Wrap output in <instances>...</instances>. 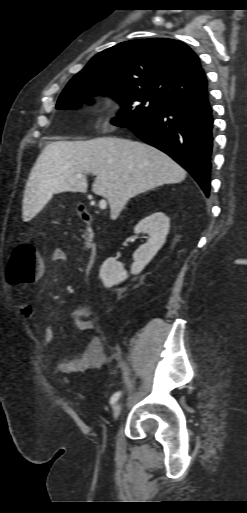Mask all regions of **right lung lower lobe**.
<instances>
[{"label": "right lung lower lobe", "mask_w": 247, "mask_h": 513, "mask_svg": "<svg viewBox=\"0 0 247 513\" xmlns=\"http://www.w3.org/2000/svg\"><path fill=\"white\" fill-rule=\"evenodd\" d=\"M128 128L184 167L209 196L213 118L207 96L167 104L151 118Z\"/></svg>", "instance_id": "obj_1"}]
</instances>
